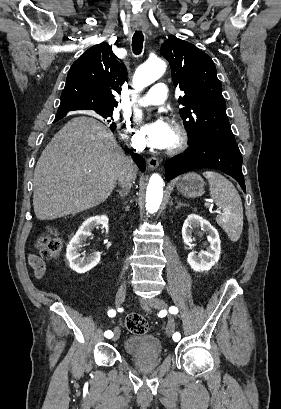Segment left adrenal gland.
<instances>
[{
	"label": "left adrenal gland",
	"instance_id": "1",
	"mask_svg": "<svg viewBox=\"0 0 281 409\" xmlns=\"http://www.w3.org/2000/svg\"><path fill=\"white\" fill-rule=\"evenodd\" d=\"M180 207H188V205H184V202H177L176 209H180Z\"/></svg>",
	"mask_w": 281,
	"mask_h": 409
}]
</instances>
